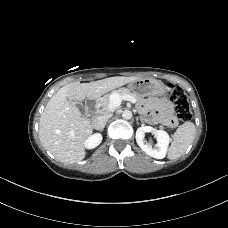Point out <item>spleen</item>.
I'll return each instance as SVG.
<instances>
[{"label": "spleen", "mask_w": 228, "mask_h": 228, "mask_svg": "<svg viewBox=\"0 0 228 228\" xmlns=\"http://www.w3.org/2000/svg\"><path fill=\"white\" fill-rule=\"evenodd\" d=\"M196 134L194 123L187 121L177 128L173 135V141L168 151V158L174 160L179 158L190 144L193 142Z\"/></svg>", "instance_id": "obj_1"}]
</instances>
